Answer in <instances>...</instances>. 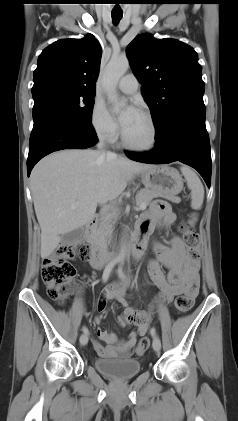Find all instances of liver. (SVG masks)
<instances>
[{"label": "liver", "instance_id": "liver-1", "mask_svg": "<svg viewBox=\"0 0 238 421\" xmlns=\"http://www.w3.org/2000/svg\"><path fill=\"white\" fill-rule=\"evenodd\" d=\"M148 164L95 150H62L39 161L30 176L41 228V257H49L61 236L92 220L97 203L116 199ZM77 203L76 209L71 204Z\"/></svg>", "mask_w": 238, "mask_h": 421}]
</instances>
